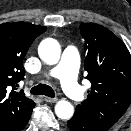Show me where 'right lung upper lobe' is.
Instances as JSON below:
<instances>
[{
  "instance_id": "right-lung-upper-lobe-1",
  "label": "right lung upper lobe",
  "mask_w": 131,
  "mask_h": 131,
  "mask_svg": "<svg viewBox=\"0 0 131 131\" xmlns=\"http://www.w3.org/2000/svg\"><path fill=\"white\" fill-rule=\"evenodd\" d=\"M46 29L27 22L0 25V131H21L32 114L35 103L15 90L29 47Z\"/></svg>"
}]
</instances>
